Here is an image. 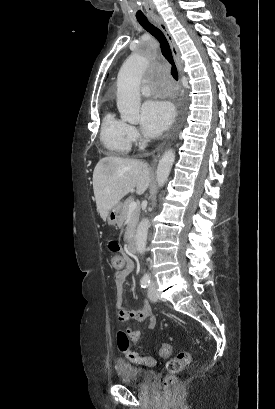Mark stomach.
Masks as SVG:
<instances>
[{
  "mask_svg": "<svg viewBox=\"0 0 275 409\" xmlns=\"http://www.w3.org/2000/svg\"><path fill=\"white\" fill-rule=\"evenodd\" d=\"M122 213V202H117V205H114L112 209H110L108 215H107V223L108 225H117L120 215Z\"/></svg>",
  "mask_w": 275,
  "mask_h": 409,
  "instance_id": "obj_1",
  "label": "stomach"
}]
</instances>
